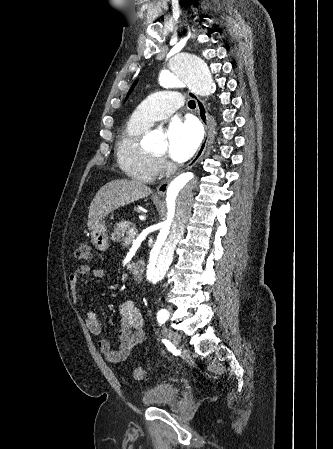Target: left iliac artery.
<instances>
[{"mask_svg": "<svg viewBox=\"0 0 333 449\" xmlns=\"http://www.w3.org/2000/svg\"><path fill=\"white\" fill-rule=\"evenodd\" d=\"M169 317V313L167 310L165 309H161L158 313H157V321L159 323V325H162L165 323V321L168 319Z\"/></svg>", "mask_w": 333, "mask_h": 449, "instance_id": "obj_1", "label": "left iliac artery"}]
</instances>
